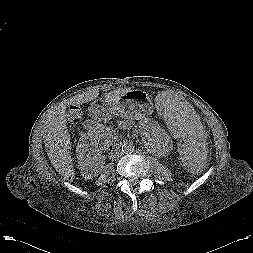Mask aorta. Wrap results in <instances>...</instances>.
<instances>
[{
	"label": "aorta",
	"mask_w": 253,
	"mask_h": 253,
	"mask_svg": "<svg viewBox=\"0 0 253 253\" xmlns=\"http://www.w3.org/2000/svg\"><path fill=\"white\" fill-rule=\"evenodd\" d=\"M133 150H134V146H133V144H131L130 142H124L123 144H122V151L124 152V153H131V152H133ZM157 154V153H156Z\"/></svg>",
	"instance_id": "762f6f07"
}]
</instances>
